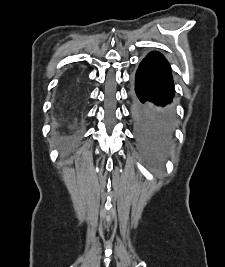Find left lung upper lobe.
Instances as JSON below:
<instances>
[{
    "instance_id": "obj_1",
    "label": "left lung upper lobe",
    "mask_w": 225,
    "mask_h": 267,
    "mask_svg": "<svg viewBox=\"0 0 225 267\" xmlns=\"http://www.w3.org/2000/svg\"><path fill=\"white\" fill-rule=\"evenodd\" d=\"M136 121L143 135H168L173 130L172 127L155 123L147 108L142 105H136Z\"/></svg>"
}]
</instances>
